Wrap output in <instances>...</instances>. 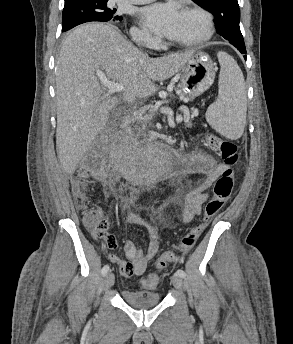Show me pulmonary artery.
I'll return each mask as SVG.
<instances>
[{
    "label": "pulmonary artery",
    "instance_id": "obj_1",
    "mask_svg": "<svg viewBox=\"0 0 293 344\" xmlns=\"http://www.w3.org/2000/svg\"><path fill=\"white\" fill-rule=\"evenodd\" d=\"M125 1L132 3V4H145V3L151 2L153 0H125Z\"/></svg>",
    "mask_w": 293,
    "mask_h": 344
}]
</instances>
